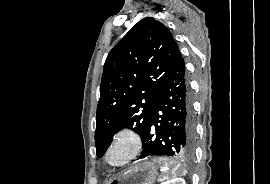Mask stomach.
<instances>
[{
    "mask_svg": "<svg viewBox=\"0 0 270 184\" xmlns=\"http://www.w3.org/2000/svg\"><path fill=\"white\" fill-rule=\"evenodd\" d=\"M168 163L173 167L172 162ZM157 177V166L151 162L143 161L112 179L109 184H153Z\"/></svg>",
    "mask_w": 270,
    "mask_h": 184,
    "instance_id": "stomach-1",
    "label": "stomach"
}]
</instances>
